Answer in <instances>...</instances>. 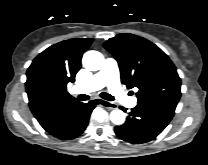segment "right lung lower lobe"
<instances>
[{"mask_svg":"<svg viewBox=\"0 0 208 165\" xmlns=\"http://www.w3.org/2000/svg\"><path fill=\"white\" fill-rule=\"evenodd\" d=\"M94 108V101L88 103L79 102L41 126L49 134L61 140L74 139L82 134L87 127L90 114Z\"/></svg>","mask_w":208,"mask_h":165,"instance_id":"1","label":"right lung lower lobe"}]
</instances>
